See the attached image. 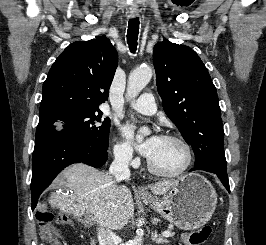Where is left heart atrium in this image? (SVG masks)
<instances>
[{"label": "left heart atrium", "instance_id": "left-heart-atrium-1", "mask_svg": "<svg viewBox=\"0 0 266 245\" xmlns=\"http://www.w3.org/2000/svg\"><path fill=\"white\" fill-rule=\"evenodd\" d=\"M121 132L123 136L132 143L137 151L150 160V158L154 155L160 140L161 136L153 133L146 137L143 141H138L137 139V128L133 124H125L121 127Z\"/></svg>", "mask_w": 266, "mask_h": 245}]
</instances>
